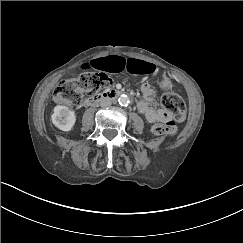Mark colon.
<instances>
[{
  "mask_svg": "<svg viewBox=\"0 0 243 243\" xmlns=\"http://www.w3.org/2000/svg\"><path fill=\"white\" fill-rule=\"evenodd\" d=\"M111 84L112 80L106 74L85 72L74 79L60 82L53 92V98L58 104L78 106L85 93L94 94ZM161 104L171 119L156 123L152 131L158 136H173L176 132V122L185 118V103L179 95L166 92L162 95Z\"/></svg>",
  "mask_w": 243,
  "mask_h": 243,
  "instance_id": "obj_1",
  "label": "colon"
}]
</instances>
